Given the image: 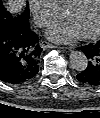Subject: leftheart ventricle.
<instances>
[{"label":"left heart ventricle","instance_id":"obj_1","mask_svg":"<svg viewBox=\"0 0 100 118\" xmlns=\"http://www.w3.org/2000/svg\"><path fill=\"white\" fill-rule=\"evenodd\" d=\"M100 10V0H83L76 7H67L64 14L73 20L82 33L92 31L97 24Z\"/></svg>","mask_w":100,"mask_h":118}]
</instances>
